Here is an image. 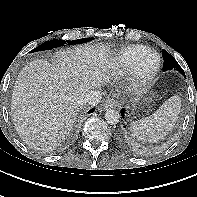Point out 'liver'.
Segmentation results:
<instances>
[{
	"mask_svg": "<svg viewBox=\"0 0 197 197\" xmlns=\"http://www.w3.org/2000/svg\"><path fill=\"white\" fill-rule=\"evenodd\" d=\"M109 54L106 45L86 44L56 52L53 63L33 60L20 71L11 116L27 145L51 151L65 140L85 94L110 81L115 66Z\"/></svg>",
	"mask_w": 197,
	"mask_h": 197,
	"instance_id": "6515ba94",
	"label": "liver"
}]
</instances>
